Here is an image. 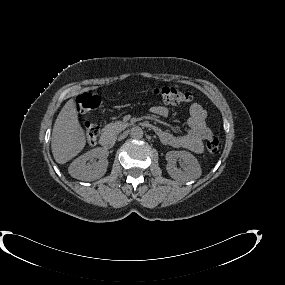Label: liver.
Segmentation results:
<instances>
[{
  "mask_svg": "<svg viewBox=\"0 0 285 285\" xmlns=\"http://www.w3.org/2000/svg\"><path fill=\"white\" fill-rule=\"evenodd\" d=\"M85 144V134L78 121L76 103L70 99L60 111L53 127V157L57 163L64 164L80 153Z\"/></svg>",
  "mask_w": 285,
  "mask_h": 285,
  "instance_id": "6515ba94",
  "label": "liver"
}]
</instances>
